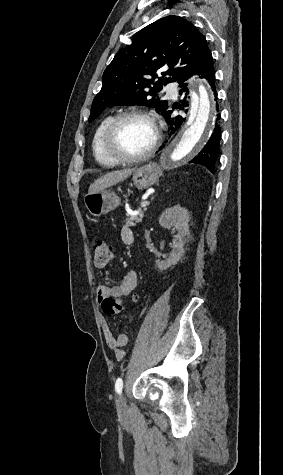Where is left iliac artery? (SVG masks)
<instances>
[{"label":"left iliac artery","mask_w":283,"mask_h":475,"mask_svg":"<svg viewBox=\"0 0 283 475\" xmlns=\"http://www.w3.org/2000/svg\"><path fill=\"white\" fill-rule=\"evenodd\" d=\"M123 388V381L121 378H118L115 383V390L117 393H121Z\"/></svg>","instance_id":"1"}]
</instances>
